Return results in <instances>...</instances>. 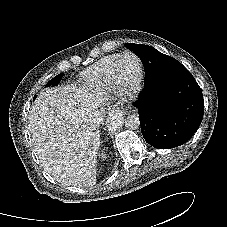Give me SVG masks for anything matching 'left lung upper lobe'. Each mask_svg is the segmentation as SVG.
Listing matches in <instances>:
<instances>
[{
    "instance_id": "obj_1",
    "label": "left lung upper lobe",
    "mask_w": 227,
    "mask_h": 227,
    "mask_svg": "<svg viewBox=\"0 0 227 227\" xmlns=\"http://www.w3.org/2000/svg\"><path fill=\"white\" fill-rule=\"evenodd\" d=\"M126 47L134 51L136 54H138V56L141 59L143 58L141 57L142 56L141 52L143 51L144 48L149 47V49L154 50L156 52L157 59L155 61H153L150 65L148 63L143 64L145 69V80L154 78L155 76L160 75L168 70H173L183 66L176 59L168 55H165L148 45L128 43L126 44Z\"/></svg>"
}]
</instances>
